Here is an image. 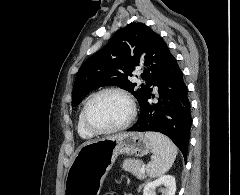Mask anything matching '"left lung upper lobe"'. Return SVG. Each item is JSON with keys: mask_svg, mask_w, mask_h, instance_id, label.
Segmentation results:
<instances>
[{"mask_svg": "<svg viewBox=\"0 0 240 195\" xmlns=\"http://www.w3.org/2000/svg\"><path fill=\"white\" fill-rule=\"evenodd\" d=\"M171 57L167 44L157 33L143 23L129 24L81 66L73 87L72 106L96 88L117 85L131 92L141 109L155 78ZM137 66L144 67L141 86L130 81Z\"/></svg>", "mask_w": 240, "mask_h": 195, "instance_id": "5c2ea615", "label": "left lung upper lobe"}]
</instances>
